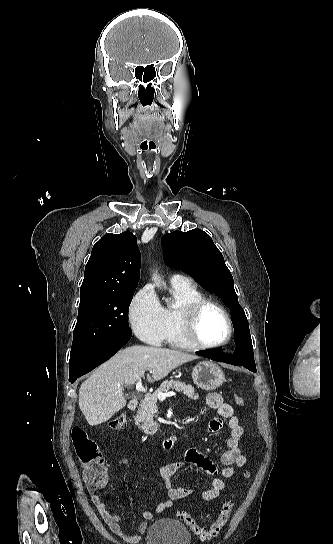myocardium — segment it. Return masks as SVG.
<instances>
[{
	"label": "myocardium",
	"mask_w": 333,
	"mask_h": 544,
	"mask_svg": "<svg viewBox=\"0 0 333 544\" xmlns=\"http://www.w3.org/2000/svg\"><path fill=\"white\" fill-rule=\"evenodd\" d=\"M208 306H214L218 308L223 313L226 319L227 326H228V334L226 338L221 342L207 344V343H203L199 339L198 330H197L198 322L202 312ZM179 318H180V326H181L183 336L192 347H195L198 349H215V348L225 346L232 339L233 332H234L232 318L227 308L220 301L216 299L203 297L197 301H194L186 305L185 307L181 309Z\"/></svg>",
	"instance_id": "1"
}]
</instances>
